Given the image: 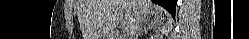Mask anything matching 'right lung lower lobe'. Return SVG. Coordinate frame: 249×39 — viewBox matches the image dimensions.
Wrapping results in <instances>:
<instances>
[{
    "instance_id": "right-lung-lower-lobe-1",
    "label": "right lung lower lobe",
    "mask_w": 249,
    "mask_h": 39,
    "mask_svg": "<svg viewBox=\"0 0 249 39\" xmlns=\"http://www.w3.org/2000/svg\"><path fill=\"white\" fill-rule=\"evenodd\" d=\"M153 1L162 6L163 8H165L173 16L175 15V8L177 3L176 0H153Z\"/></svg>"
}]
</instances>
